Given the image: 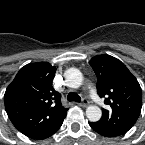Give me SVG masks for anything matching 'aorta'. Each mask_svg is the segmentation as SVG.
<instances>
[{
	"mask_svg": "<svg viewBox=\"0 0 145 145\" xmlns=\"http://www.w3.org/2000/svg\"><path fill=\"white\" fill-rule=\"evenodd\" d=\"M65 82L70 88H79L83 82V75L80 70L70 68L65 72ZM102 111L96 105H90L86 109V116L91 122H96L101 118Z\"/></svg>",
	"mask_w": 145,
	"mask_h": 145,
	"instance_id": "1",
	"label": "aorta"
}]
</instances>
